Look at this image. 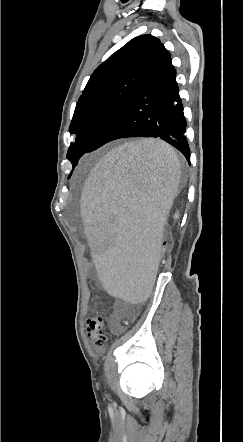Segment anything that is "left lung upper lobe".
<instances>
[{
  "mask_svg": "<svg viewBox=\"0 0 243 442\" xmlns=\"http://www.w3.org/2000/svg\"><path fill=\"white\" fill-rule=\"evenodd\" d=\"M165 51L159 39L141 35L130 40L93 72L76 104L69 127L70 133L76 135L67 153L73 168Z\"/></svg>",
  "mask_w": 243,
  "mask_h": 442,
  "instance_id": "5c2ea615",
  "label": "left lung upper lobe"
}]
</instances>
